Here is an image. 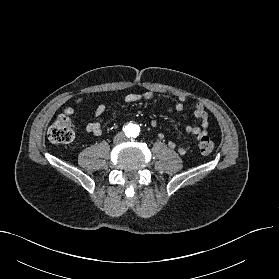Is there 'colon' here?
<instances>
[{"label":"colon","instance_id":"1","mask_svg":"<svg viewBox=\"0 0 279 279\" xmlns=\"http://www.w3.org/2000/svg\"><path fill=\"white\" fill-rule=\"evenodd\" d=\"M72 109L61 113L48 130V138L53 143L68 144L75 140V126L72 120ZM198 149L201 154L207 155L213 150V142L205 135L199 139Z\"/></svg>","mask_w":279,"mask_h":279}]
</instances>
